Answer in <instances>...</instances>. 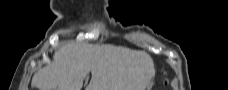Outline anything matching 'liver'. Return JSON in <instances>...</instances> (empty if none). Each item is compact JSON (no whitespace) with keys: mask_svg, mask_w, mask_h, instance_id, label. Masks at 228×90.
I'll list each match as a JSON object with an SVG mask.
<instances>
[{"mask_svg":"<svg viewBox=\"0 0 228 90\" xmlns=\"http://www.w3.org/2000/svg\"><path fill=\"white\" fill-rule=\"evenodd\" d=\"M90 72L86 90H146L155 68L144 51L68 42L55 52L51 64L33 76L32 85L38 90H81Z\"/></svg>","mask_w":228,"mask_h":90,"instance_id":"liver-1","label":"liver"}]
</instances>
